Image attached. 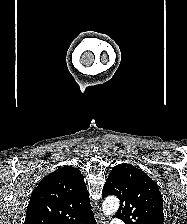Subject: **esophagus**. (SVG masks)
<instances>
[{"label": "esophagus", "mask_w": 187, "mask_h": 224, "mask_svg": "<svg viewBox=\"0 0 187 224\" xmlns=\"http://www.w3.org/2000/svg\"><path fill=\"white\" fill-rule=\"evenodd\" d=\"M99 223H100V224H107V223H106V219H105L104 216H102V217L100 218Z\"/></svg>", "instance_id": "1"}]
</instances>
